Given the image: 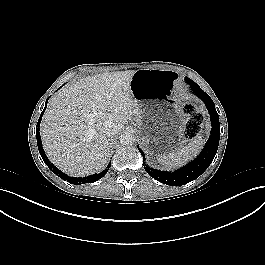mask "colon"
I'll return each mask as SVG.
<instances>
[{
	"instance_id": "colon-1",
	"label": "colon",
	"mask_w": 265,
	"mask_h": 265,
	"mask_svg": "<svg viewBox=\"0 0 265 265\" xmlns=\"http://www.w3.org/2000/svg\"><path fill=\"white\" fill-rule=\"evenodd\" d=\"M182 112L188 117L184 135L186 138L192 139L200 133L204 116L191 103L183 104Z\"/></svg>"
}]
</instances>
